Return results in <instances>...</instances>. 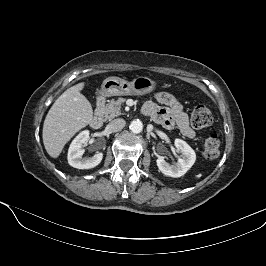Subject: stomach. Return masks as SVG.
<instances>
[{"instance_id": "1", "label": "stomach", "mask_w": 266, "mask_h": 266, "mask_svg": "<svg viewBox=\"0 0 266 266\" xmlns=\"http://www.w3.org/2000/svg\"><path fill=\"white\" fill-rule=\"evenodd\" d=\"M157 82L145 76H138L133 81L128 82L119 77H108L102 85L101 91L105 96L119 95H145L154 91Z\"/></svg>"}]
</instances>
